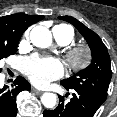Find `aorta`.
<instances>
[{"instance_id": "aorta-1", "label": "aorta", "mask_w": 117, "mask_h": 117, "mask_svg": "<svg viewBox=\"0 0 117 117\" xmlns=\"http://www.w3.org/2000/svg\"><path fill=\"white\" fill-rule=\"evenodd\" d=\"M32 44L39 48H48L52 45V34L44 26H35L30 32ZM41 102L46 108H54L57 102V96L53 93H44Z\"/></svg>"}]
</instances>
